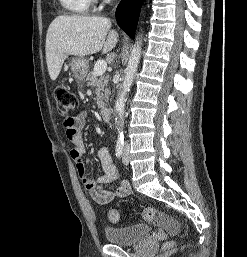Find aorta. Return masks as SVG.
Masks as SVG:
<instances>
[{
  "instance_id": "obj_1",
  "label": "aorta",
  "mask_w": 247,
  "mask_h": 257,
  "mask_svg": "<svg viewBox=\"0 0 247 257\" xmlns=\"http://www.w3.org/2000/svg\"><path fill=\"white\" fill-rule=\"evenodd\" d=\"M141 45H142V35L137 37V41L134 44L131 54L128 60V65L125 70V76L123 78L122 88L120 93L118 94V98L115 102V123L117 125L118 137L121 139L124 136L123 128H124V111H125V103L127 93L130 91L132 86L135 74L137 72V68L141 58Z\"/></svg>"
}]
</instances>
